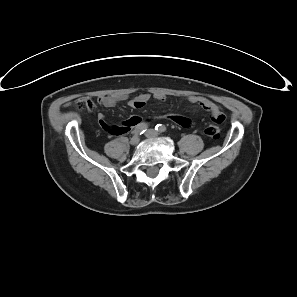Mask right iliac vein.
Returning a JSON list of instances; mask_svg holds the SVG:
<instances>
[{
    "label": "right iliac vein",
    "instance_id": "obj_1",
    "mask_svg": "<svg viewBox=\"0 0 297 297\" xmlns=\"http://www.w3.org/2000/svg\"><path fill=\"white\" fill-rule=\"evenodd\" d=\"M138 143H139V136H138V135L133 136V137L131 138V140H130V144L133 145V146H135V145H137Z\"/></svg>",
    "mask_w": 297,
    "mask_h": 297
}]
</instances>
